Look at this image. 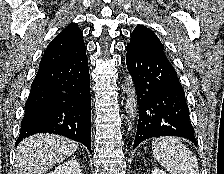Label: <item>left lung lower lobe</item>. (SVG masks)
<instances>
[{
    "label": "left lung lower lobe",
    "instance_id": "left-lung-lower-lobe-1",
    "mask_svg": "<svg viewBox=\"0 0 224 174\" xmlns=\"http://www.w3.org/2000/svg\"><path fill=\"white\" fill-rule=\"evenodd\" d=\"M126 50L139 105L133 149L148 138L160 136L184 137L196 144L184 90L164 51L128 46Z\"/></svg>",
    "mask_w": 224,
    "mask_h": 174
}]
</instances>
